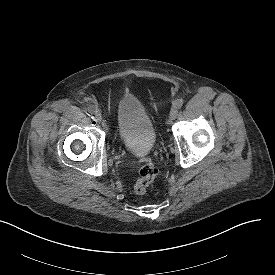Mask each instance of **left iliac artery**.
Listing matches in <instances>:
<instances>
[{
  "label": "left iliac artery",
  "mask_w": 275,
  "mask_h": 275,
  "mask_svg": "<svg viewBox=\"0 0 275 275\" xmlns=\"http://www.w3.org/2000/svg\"><path fill=\"white\" fill-rule=\"evenodd\" d=\"M183 105V101L181 99H177L175 102H174V106L178 109H180Z\"/></svg>",
  "instance_id": "44dca946"
}]
</instances>
